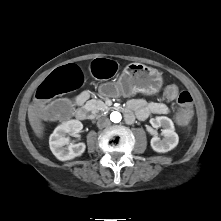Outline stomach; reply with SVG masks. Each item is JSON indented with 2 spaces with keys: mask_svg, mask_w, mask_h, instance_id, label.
Listing matches in <instances>:
<instances>
[{
  "mask_svg": "<svg viewBox=\"0 0 221 221\" xmlns=\"http://www.w3.org/2000/svg\"><path fill=\"white\" fill-rule=\"evenodd\" d=\"M162 83V74L158 70L141 63H130L110 85L113 88V95L131 96L137 93L156 94Z\"/></svg>",
  "mask_w": 221,
  "mask_h": 221,
  "instance_id": "obj_1",
  "label": "stomach"
}]
</instances>
